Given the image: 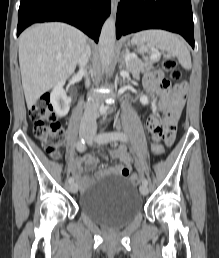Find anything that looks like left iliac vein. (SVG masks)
<instances>
[{"mask_svg":"<svg viewBox=\"0 0 219 258\" xmlns=\"http://www.w3.org/2000/svg\"><path fill=\"white\" fill-rule=\"evenodd\" d=\"M87 142H88V144H90V145H92L93 144V139H92V137L91 136H89L88 138H87ZM140 193L143 195V196H146L147 194H148V187H147V185H144V184H142L141 186H140Z\"/></svg>","mask_w":219,"mask_h":258,"instance_id":"4c4485c4","label":"left iliac vein"}]
</instances>
